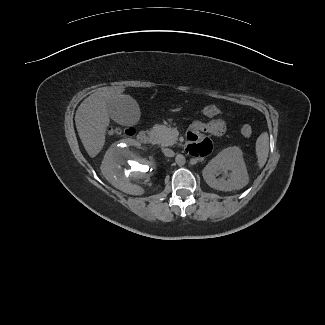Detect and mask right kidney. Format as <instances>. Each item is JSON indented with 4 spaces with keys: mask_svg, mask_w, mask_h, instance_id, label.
<instances>
[{
    "mask_svg": "<svg viewBox=\"0 0 325 325\" xmlns=\"http://www.w3.org/2000/svg\"><path fill=\"white\" fill-rule=\"evenodd\" d=\"M122 165H126L122 169ZM104 177L117 189L141 195L153 184L155 163L134 139H123L107 150L101 165Z\"/></svg>",
    "mask_w": 325,
    "mask_h": 325,
    "instance_id": "1",
    "label": "right kidney"
}]
</instances>
